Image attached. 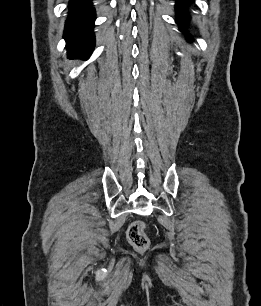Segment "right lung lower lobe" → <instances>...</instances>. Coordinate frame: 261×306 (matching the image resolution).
I'll list each match as a JSON object with an SVG mask.
<instances>
[{
  "label": "right lung lower lobe",
  "instance_id": "right-lung-lower-lobe-1",
  "mask_svg": "<svg viewBox=\"0 0 261 306\" xmlns=\"http://www.w3.org/2000/svg\"><path fill=\"white\" fill-rule=\"evenodd\" d=\"M95 11L91 0H70L64 38L70 58H88L94 48Z\"/></svg>",
  "mask_w": 261,
  "mask_h": 306
}]
</instances>
